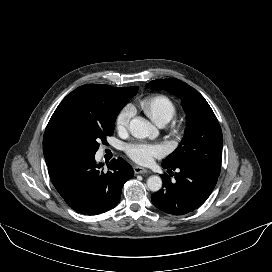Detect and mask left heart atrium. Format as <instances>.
Masks as SVG:
<instances>
[{"instance_id":"39dd6f15","label":"left heart atrium","mask_w":272,"mask_h":272,"mask_svg":"<svg viewBox=\"0 0 272 272\" xmlns=\"http://www.w3.org/2000/svg\"><path fill=\"white\" fill-rule=\"evenodd\" d=\"M126 153L139 164H149L154 158L161 157L164 150L157 144L136 142L126 146Z\"/></svg>"}]
</instances>
